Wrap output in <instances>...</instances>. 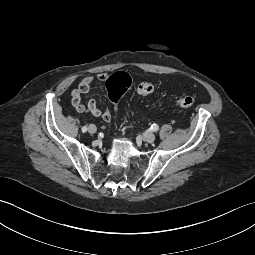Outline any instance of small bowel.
Instances as JSON below:
<instances>
[{
  "instance_id": "obj_1",
  "label": "small bowel",
  "mask_w": 255,
  "mask_h": 255,
  "mask_svg": "<svg viewBox=\"0 0 255 255\" xmlns=\"http://www.w3.org/2000/svg\"><path fill=\"white\" fill-rule=\"evenodd\" d=\"M97 78L99 81H104L106 79V74H99ZM94 83L95 79L92 76L83 78L78 87L71 92L72 105L78 112L87 110L95 117H102L105 121H110L112 118L111 112L99 109L94 99H90L87 104H84L82 101L81 95L89 92Z\"/></svg>"
}]
</instances>
